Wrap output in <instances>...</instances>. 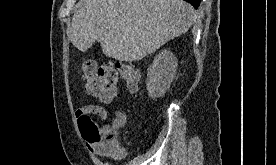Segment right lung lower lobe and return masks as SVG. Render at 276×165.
<instances>
[{"instance_id": "98d812e1", "label": "right lung lower lobe", "mask_w": 276, "mask_h": 165, "mask_svg": "<svg viewBox=\"0 0 276 165\" xmlns=\"http://www.w3.org/2000/svg\"><path fill=\"white\" fill-rule=\"evenodd\" d=\"M190 3L195 9H197L200 5V0H185Z\"/></svg>"}]
</instances>
